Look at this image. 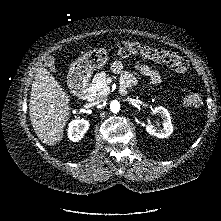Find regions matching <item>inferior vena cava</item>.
<instances>
[{
	"label": "inferior vena cava",
	"instance_id": "inferior-vena-cava-1",
	"mask_svg": "<svg viewBox=\"0 0 221 221\" xmlns=\"http://www.w3.org/2000/svg\"><path fill=\"white\" fill-rule=\"evenodd\" d=\"M98 101H103V99L101 98V99H99Z\"/></svg>",
	"mask_w": 221,
	"mask_h": 221
}]
</instances>
